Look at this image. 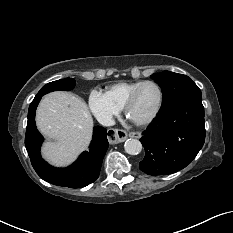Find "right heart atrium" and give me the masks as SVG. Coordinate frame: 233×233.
<instances>
[{
	"label": "right heart atrium",
	"mask_w": 233,
	"mask_h": 233,
	"mask_svg": "<svg viewBox=\"0 0 233 233\" xmlns=\"http://www.w3.org/2000/svg\"><path fill=\"white\" fill-rule=\"evenodd\" d=\"M88 104L96 119L104 125L110 124L113 118L121 111V108L106 93L98 90L90 92Z\"/></svg>",
	"instance_id": "obj_1"
}]
</instances>
